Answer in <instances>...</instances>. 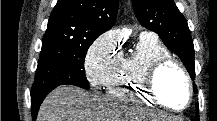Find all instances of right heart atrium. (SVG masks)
<instances>
[{
  "label": "right heart atrium",
  "mask_w": 217,
  "mask_h": 121,
  "mask_svg": "<svg viewBox=\"0 0 217 121\" xmlns=\"http://www.w3.org/2000/svg\"><path fill=\"white\" fill-rule=\"evenodd\" d=\"M120 59L117 38L111 32L103 33L91 45L85 59V71L89 83L94 88L105 86Z\"/></svg>",
  "instance_id": "obj_1"
}]
</instances>
